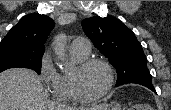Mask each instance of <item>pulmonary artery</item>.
<instances>
[{
    "label": "pulmonary artery",
    "instance_id": "e3ab8cb5",
    "mask_svg": "<svg viewBox=\"0 0 171 110\" xmlns=\"http://www.w3.org/2000/svg\"><path fill=\"white\" fill-rule=\"evenodd\" d=\"M71 50L88 55L91 52V42L86 38L77 37L71 43Z\"/></svg>",
    "mask_w": 171,
    "mask_h": 110
}]
</instances>
